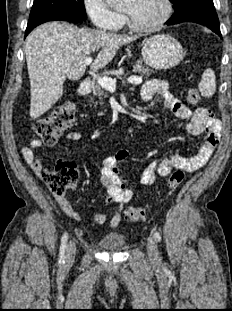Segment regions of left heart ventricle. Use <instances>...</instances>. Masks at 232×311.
Segmentation results:
<instances>
[{
	"instance_id": "b2bd125f",
	"label": "left heart ventricle",
	"mask_w": 232,
	"mask_h": 311,
	"mask_svg": "<svg viewBox=\"0 0 232 311\" xmlns=\"http://www.w3.org/2000/svg\"><path fill=\"white\" fill-rule=\"evenodd\" d=\"M122 9L138 25H150L156 22L163 13L161 0H125Z\"/></svg>"
}]
</instances>
